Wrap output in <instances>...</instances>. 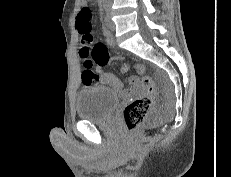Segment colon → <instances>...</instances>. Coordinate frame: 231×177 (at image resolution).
Returning a JSON list of instances; mask_svg holds the SVG:
<instances>
[{"label": "colon", "instance_id": "colon-1", "mask_svg": "<svg viewBox=\"0 0 231 177\" xmlns=\"http://www.w3.org/2000/svg\"><path fill=\"white\" fill-rule=\"evenodd\" d=\"M92 12L89 7L81 9L76 26L81 35L79 54L84 59L85 71L83 78L88 86L99 83L100 76L92 71L94 64L105 65L111 59L119 60L120 57L111 58L106 47L101 43H94L92 34ZM141 93L129 101L123 109V119L129 130L139 127L147 118L157 95V88L153 79L144 75L139 80Z\"/></svg>", "mask_w": 231, "mask_h": 177}]
</instances>
